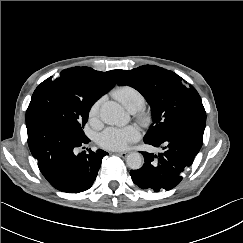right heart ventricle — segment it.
I'll return each instance as SVG.
<instances>
[{"label": "right heart ventricle", "instance_id": "obj_1", "mask_svg": "<svg viewBox=\"0 0 243 243\" xmlns=\"http://www.w3.org/2000/svg\"><path fill=\"white\" fill-rule=\"evenodd\" d=\"M112 95L130 111H136L144 104V96L142 93L129 85L116 87L112 91Z\"/></svg>", "mask_w": 243, "mask_h": 243}]
</instances>
